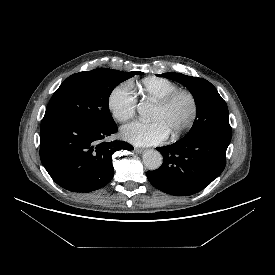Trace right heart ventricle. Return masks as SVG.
Returning a JSON list of instances; mask_svg holds the SVG:
<instances>
[{
	"label": "right heart ventricle",
	"mask_w": 275,
	"mask_h": 275,
	"mask_svg": "<svg viewBox=\"0 0 275 275\" xmlns=\"http://www.w3.org/2000/svg\"><path fill=\"white\" fill-rule=\"evenodd\" d=\"M177 89L179 86L167 78L147 77L141 82L140 94L143 100L157 103Z\"/></svg>",
	"instance_id": "1"
}]
</instances>
